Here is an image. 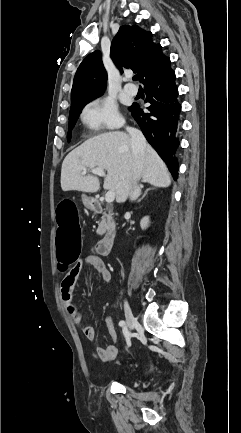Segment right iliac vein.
Masks as SVG:
<instances>
[{
  "instance_id": "63e3f726",
  "label": "right iliac vein",
  "mask_w": 241,
  "mask_h": 433,
  "mask_svg": "<svg viewBox=\"0 0 241 433\" xmlns=\"http://www.w3.org/2000/svg\"><path fill=\"white\" fill-rule=\"evenodd\" d=\"M124 309H125V316H126L127 325L129 327V330L131 331L134 324L136 323V319L133 316V313L131 311L130 305H129L127 300H125Z\"/></svg>"
}]
</instances>
